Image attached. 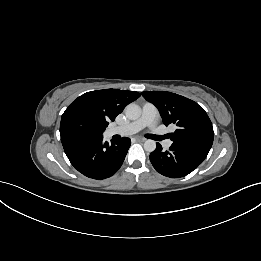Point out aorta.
<instances>
[{
	"label": "aorta",
	"mask_w": 261,
	"mask_h": 261,
	"mask_svg": "<svg viewBox=\"0 0 261 261\" xmlns=\"http://www.w3.org/2000/svg\"><path fill=\"white\" fill-rule=\"evenodd\" d=\"M141 108L135 103H130L125 108V115L130 120H136L141 116ZM144 149L147 152H153L156 149V142L148 139L144 142Z\"/></svg>",
	"instance_id": "obj_1"
}]
</instances>
